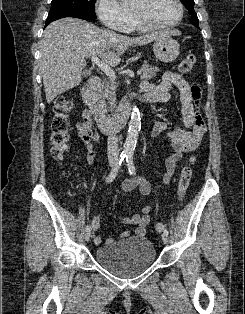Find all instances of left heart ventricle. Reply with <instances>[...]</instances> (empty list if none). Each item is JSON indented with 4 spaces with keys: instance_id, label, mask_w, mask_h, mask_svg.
Wrapping results in <instances>:
<instances>
[{
    "instance_id": "obj_1",
    "label": "left heart ventricle",
    "mask_w": 245,
    "mask_h": 314,
    "mask_svg": "<svg viewBox=\"0 0 245 314\" xmlns=\"http://www.w3.org/2000/svg\"><path fill=\"white\" fill-rule=\"evenodd\" d=\"M130 7L155 23H170L179 16L175 0H133Z\"/></svg>"
}]
</instances>
